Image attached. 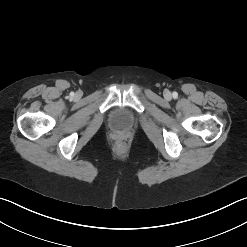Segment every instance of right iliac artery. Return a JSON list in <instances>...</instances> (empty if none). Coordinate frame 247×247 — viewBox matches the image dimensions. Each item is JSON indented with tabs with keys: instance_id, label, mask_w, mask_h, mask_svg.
I'll use <instances>...</instances> for the list:
<instances>
[{
	"instance_id": "right-iliac-artery-1",
	"label": "right iliac artery",
	"mask_w": 247,
	"mask_h": 247,
	"mask_svg": "<svg viewBox=\"0 0 247 247\" xmlns=\"http://www.w3.org/2000/svg\"><path fill=\"white\" fill-rule=\"evenodd\" d=\"M71 96H73L74 94L73 93H70Z\"/></svg>"
}]
</instances>
